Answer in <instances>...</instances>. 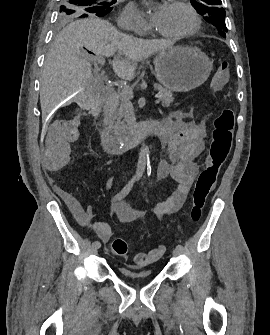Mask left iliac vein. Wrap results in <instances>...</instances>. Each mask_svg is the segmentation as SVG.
I'll use <instances>...</instances> for the list:
<instances>
[{
    "instance_id": "left-iliac-vein-1",
    "label": "left iliac vein",
    "mask_w": 270,
    "mask_h": 335,
    "mask_svg": "<svg viewBox=\"0 0 270 335\" xmlns=\"http://www.w3.org/2000/svg\"><path fill=\"white\" fill-rule=\"evenodd\" d=\"M172 254L174 256H179L181 254V251L175 248V249H173Z\"/></svg>"
}]
</instances>
